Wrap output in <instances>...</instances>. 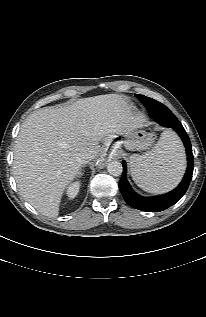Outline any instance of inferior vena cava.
Wrapping results in <instances>:
<instances>
[{"label":"inferior vena cava","instance_id":"1","mask_svg":"<svg viewBox=\"0 0 206 317\" xmlns=\"http://www.w3.org/2000/svg\"><path fill=\"white\" fill-rule=\"evenodd\" d=\"M95 157V155L91 152H84V153H80L77 157V161L80 164H86L87 162H89L90 160H92Z\"/></svg>","mask_w":206,"mask_h":317}]
</instances>
